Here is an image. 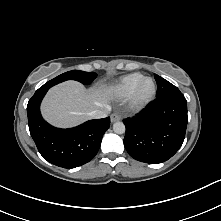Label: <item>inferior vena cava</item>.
Returning a JSON list of instances; mask_svg holds the SVG:
<instances>
[{"label":"inferior vena cava","mask_w":221,"mask_h":221,"mask_svg":"<svg viewBox=\"0 0 221 221\" xmlns=\"http://www.w3.org/2000/svg\"><path fill=\"white\" fill-rule=\"evenodd\" d=\"M110 111H111L110 106L104 105L94 111H91L89 115L95 119L106 118L110 113Z\"/></svg>","instance_id":"1"}]
</instances>
